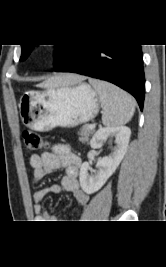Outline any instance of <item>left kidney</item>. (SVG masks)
I'll return each mask as SVG.
<instances>
[{"label": "left kidney", "mask_w": 166, "mask_h": 267, "mask_svg": "<svg viewBox=\"0 0 166 267\" xmlns=\"http://www.w3.org/2000/svg\"><path fill=\"white\" fill-rule=\"evenodd\" d=\"M130 135L131 130L126 126L100 128L94 134L90 141L92 149L101 148L104 141L109 137H115V147L111 154L98 160L97 170L93 175L89 174V171H91L90 164L88 162L82 164L79 181L84 192L87 194L95 193L115 172L127 151Z\"/></svg>", "instance_id": "obj_1"}]
</instances>
